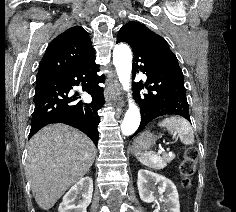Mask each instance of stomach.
<instances>
[{
	"label": "stomach",
	"instance_id": "0dacf381",
	"mask_svg": "<svg viewBox=\"0 0 236 212\" xmlns=\"http://www.w3.org/2000/svg\"><path fill=\"white\" fill-rule=\"evenodd\" d=\"M156 137L146 131L140 134L133 143V151L135 154L147 152L155 143Z\"/></svg>",
	"mask_w": 236,
	"mask_h": 212
}]
</instances>
